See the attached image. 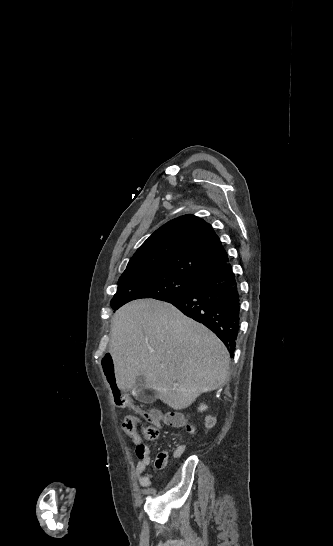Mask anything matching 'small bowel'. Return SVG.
Segmentation results:
<instances>
[{
    "instance_id": "small-bowel-1",
    "label": "small bowel",
    "mask_w": 333,
    "mask_h": 546,
    "mask_svg": "<svg viewBox=\"0 0 333 546\" xmlns=\"http://www.w3.org/2000/svg\"><path fill=\"white\" fill-rule=\"evenodd\" d=\"M149 421L154 423L156 426L161 427L162 420H165L170 425H177L178 421L176 416L166 415L163 416L160 412H153L149 416H146ZM189 431L196 433V429L193 426H189ZM134 445L135 453L138 458V462L135 467V471L138 477V481L142 487H148L151 484L152 472L148 471V468L152 465L151 459V450L150 447L142 441L137 432L134 435H130ZM186 447L184 445H179L174 450V457H180L185 452ZM168 461V452H160L156 459L153 462L154 468L161 469L166 466Z\"/></svg>"
}]
</instances>
